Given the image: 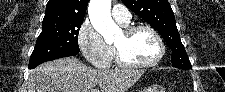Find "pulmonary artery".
I'll return each instance as SVG.
<instances>
[{"instance_id":"pulmonary-artery-1","label":"pulmonary artery","mask_w":225,"mask_h":92,"mask_svg":"<svg viewBox=\"0 0 225 92\" xmlns=\"http://www.w3.org/2000/svg\"><path fill=\"white\" fill-rule=\"evenodd\" d=\"M112 16L122 25H127L131 22V14L123 5H114L112 8Z\"/></svg>"}]
</instances>
